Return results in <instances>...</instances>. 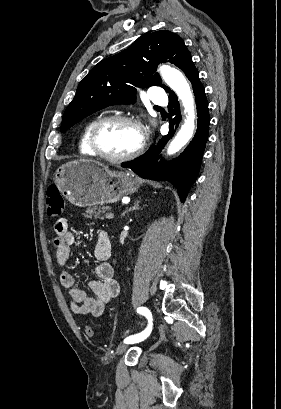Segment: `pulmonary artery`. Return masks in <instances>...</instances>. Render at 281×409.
Segmentation results:
<instances>
[{"label": "pulmonary artery", "mask_w": 281, "mask_h": 409, "mask_svg": "<svg viewBox=\"0 0 281 409\" xmlns=\"http://www.w3.org/2000/svg\"><path fill=\"white\" fill-rule=\"evenodd\" d=\"M152 91L150 96L154 103H167L168 102V95L164 94V88L160 86L158 81H153L151 83Z\"/></svg>", "instance_id": "pulmonary-artery-1"}]
</instances>
